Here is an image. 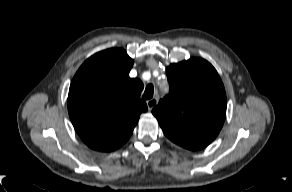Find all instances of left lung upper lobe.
I'll use <instances>...</instances> for the list:
<instances>
[{"instance_id": "obj_1", "label": "left lung upper lobe", "mask_w": 292, "mask_h": 192, "mask_svg": "<svg viewBox=\"0 0 292 192\" xmlns=\"http://www.w3.org/2000/svg\"><path fill=\"white\" fill-rule=\"evenodd\" d=\"M168 96L152 110L164 134L189 150L208 146L219 134L226 115V93L215 68L191 58L167 67Z\"/></svg>"}]
</instances>
